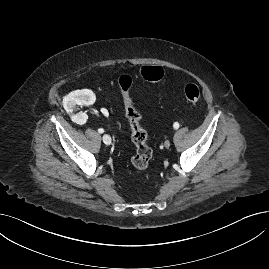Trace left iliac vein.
<instances>
[{"label":"left iliac vein","mask_w":269,"mask_h":269,"mask_svg":"<svg viewBox=\"0 0 269 269\" xmlns=\"http://www.w3.org/2000/svg\"><path fill=\"white\" fill-rule=\"evenodd\" d=\"M170 145H171V143H170L169 140H166V141L164 142V147H165V148H169Z\"/></svg>","instance_id":"4c4485c4"}]
</instances>
